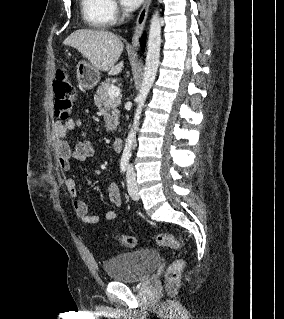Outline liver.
<instances>
[{
  "label": "liver",
  "instance_id": "6515ba94",
  "mask_svg": "<svg viewBox=\"0 0 284 319\" xmlns=\"http://www.w3.org/2000/svg\"><path fill=\"white\" fill-rule=\"evenodd\" d=\"M63 44L77 49L94 68L108 72L110 76L119 74L124 67L123 61L116 64L124 45L112 32L79 29L71 33Z\"/></svg>",
  "mask_w": 284,
  "mask_h": 319
}]
</instances>
